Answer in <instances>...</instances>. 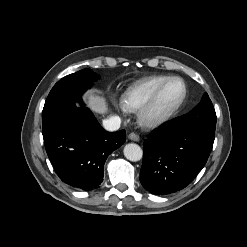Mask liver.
<instances>
[{"instance_id": "1", "label": "liver", "mask_w": 247, "mask_h": 247, "mask_svg": "<svg viewBox=\"0 0 247 247\" xmlns=\"http://www.w3.org/2000/svg\"><path fill=\"white\" fill-rule=\"evenodd\" d=\"M87 103L89 107L96 113L102 114L106 113L108 108L105 99L101 96L95 94H88Z\"/></svg>"}]
</instances>
